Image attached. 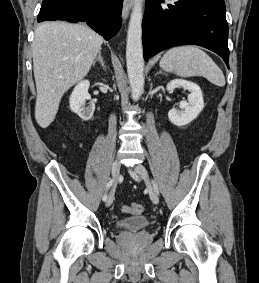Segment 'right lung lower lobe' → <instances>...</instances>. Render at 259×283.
<instances>
[{
  "mask_svg": "<svg viewBox=\"0 0 259 283\" xmlns=\"http://www.w3.org/2000/svg\"><path fill=\"white\" fill-rule=\"evenodd\" d=\"M122 3L123 0H43L37 20L85 22L109 40L121 27Z\"/></svg>",
  "mask_w": 259,
  "mask_h": 283,
  "instance_id": "right-lung-lower-lobe-1",
  "label": "right lung lower lobe"
}]
</instances>
